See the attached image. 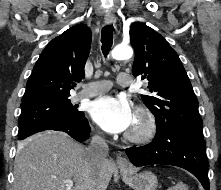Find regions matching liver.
Returning <instances> with one entry per match:
<instances>
[{
  "label": "liver",
  "instance_id": "liver-1",
  "mask_svg": "<svg viewBox=\"0 0 221 190\" xmlns=\"http://www.w3.org/2000/svg\"><path fill=\"white\" fill-rule=\"evenodd\" d=\"M114 171L90 162L86 149L64 133H40L19 144L13 190H106ZM75 183L67 187L63 182Z\"/></svg>",
  "mask_w": 221,
  "mask_h": 190
}]
</instances>
